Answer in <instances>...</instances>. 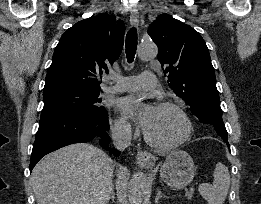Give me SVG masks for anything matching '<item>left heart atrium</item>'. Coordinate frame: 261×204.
I'll use <instances>...</instances> for the list:
<instances>
[{"mask_svg": "<svg viewBox=\"0 0 261 204\" xmlns=\"http://www.w3.org/2000/svg\"><path fill=\"white\" fill-rule=\"evenodd\" d=\"M119 107L125 115L136 120L143 128H146L153 106L141 102L136 97L129 96L120 101Z\"/></svg>", "mask_w": 261, "mask_h": 204, "instance_id": "left-heart-atrium-1", "label": "left heart atrium"}]
</instances>
